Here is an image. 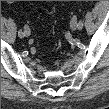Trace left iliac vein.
<instances>
[{
    "label": "left iliac vein",
    "instance_id": "4c4485c4",
    "mask_svg": "<svg viewBox=\"0 0 109 109\" xmlns=\"http://www.w3.org/2000/svg\"><path fill=\"white\" fill-rule=\"evenodd\" d=\"M78 19L77 16H73L70 22V28L72 31L76 30L78 28Z\"/></svg>",
    "mask_w": 109,
    "mask_h": 109
}]
</instances>
